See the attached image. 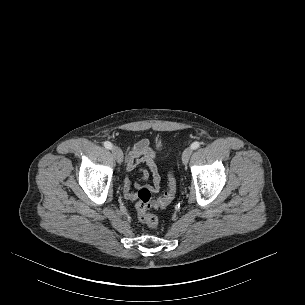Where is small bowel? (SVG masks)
<instances>
[{"mask_svg": "<svg viewBox=\"0 0 305 305\" xmlns=\"http://www.w3.org/2000/svg\"><path fill=\"white\" fill-rule=\"evenodd\" d=\"M156 153L150 146L148 139H141L136 142L128 151L127 169L133 171L136 169L138 164L146 163L153 177V183L150 186L153 192H158L160 188V176L158 174L157 166L155 164ZM141 179L136 181L133 186L135 189L142 188V181L147 178L148 173L145 170H141ZM132 182L129 178L125 180L124 184V196L127 200L135 201L137 199V193L132 191Z\"/></svg>", "mask_w": 305, "mask_h": 305, "instance_id": "1", "label": "small bowel"}]
</instances>
